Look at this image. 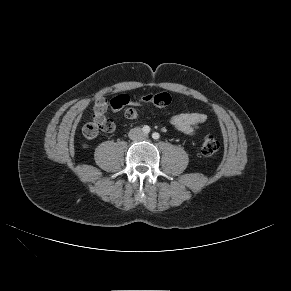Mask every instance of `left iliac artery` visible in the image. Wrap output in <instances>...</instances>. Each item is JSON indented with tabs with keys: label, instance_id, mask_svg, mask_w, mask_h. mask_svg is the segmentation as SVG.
<instances>
[{
	"label": "left iliac artery",
	"instance_id": "obj_1",
	"mask_svg": "<svg viewBox=\"0 0 291 291\" xmlns=\"http://www.w3.org/2000/svg\"><path fill=\"white\" fill-rule=\"evenodd\" d=\"M152 138L155 139V140H158V139L160 138V134L157 133V132H154V133L152 134Z\"/></svg>",
	"mask_w": 291,
	"mask_h": 291
}]
</instances>
